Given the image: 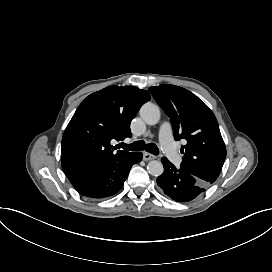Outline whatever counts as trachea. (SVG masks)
<instances>
[{
	"instance_id": "3493384b",
	"label": "trachea",
	"mask_w": 272,
	"mask_h": 272,
	"mask_svg": "<svg viewBox=\"0 0 272 272\" xmlns=\"http://www.w3.org/2000/svg\"><path fill=\"white\" fill-rule=\"evenodd\" d=\"M120 147H122L125 150L131 151H141L145 149L147 152H150L151 154L155 155L159 153V149L154 143L146 144L144 141H136L132 144L120 143Z\"/></svg>"
}]
</instances>
